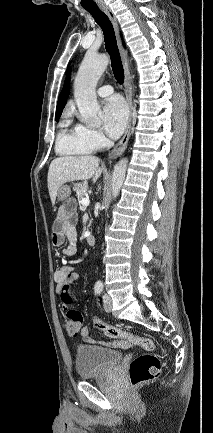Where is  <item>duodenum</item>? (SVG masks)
Segmentation results:
<instances>
[{"mask_svg": "<svg viewBox=\"0 0 213 433\" xmlns=\"http://www.w3.org/2000/svg\"><path fill=\"white\" fill-rule=\"evenodd\" d=\"M86 241L89 245L95 244V237L92 234H88L86 237Z\"/></svg>", "mask_w": 213, "mask_h": 433, "instance_id": "obj_1", "label": "duodenum"}]
</instances>
